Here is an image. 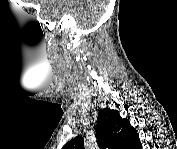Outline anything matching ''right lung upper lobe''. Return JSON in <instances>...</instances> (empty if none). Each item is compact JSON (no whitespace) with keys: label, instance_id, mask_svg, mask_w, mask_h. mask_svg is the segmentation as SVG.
<instances>
[{"label":"right lung upper lobe","instance_id":"1","mask_svg":"<svg viewBox=\"0 0 177 149\" xmlns=\"http://www.w3.org/2000/svg\"><path fill=\"white\" fill-rule=\"evenodd\" d=\"M98 146L104 149H137L140 144L138 134L129 120L122 119L117 110L105 108L99 111L96 125ZM64 149H84V139L75 137Z\"/></svg>","mask_w":177,"mask_h":149}]
</instances>
